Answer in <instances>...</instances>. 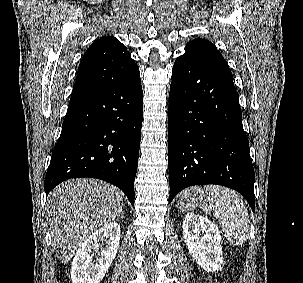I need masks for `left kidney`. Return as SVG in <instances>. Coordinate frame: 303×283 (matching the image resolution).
Listing matches in <instances>:
<instances>
[{
    "mask_svg": "<svg viewBox=\"0 0 303 283\" xmlns=\"http://www.w3.org/2000/svg\"><path fill=\"white\" fill-rule=\"evenodd\" d=\"M182 228L189 253L197 264L208 272L221 270L224 258L218 227L207 218L187 213Z\"/></svg>",
    "mask_w": 303,
    "mask_h": 283,
    "instance_id": "1",
    "label": "left kidney"
}]
</instances>
